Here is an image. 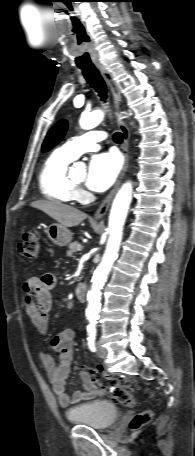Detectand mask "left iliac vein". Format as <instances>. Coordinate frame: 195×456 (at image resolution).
Listing matches in <instances>:
<instances>
[{
    "instance_id": "1",
    "label": "left iliac vein",
    "mask_w": 195,
    "mask_h": 456,
    "mask_svg": "<svg viewBox=\"0 0 195 456\" xmlns=\"http://www.w3.org/2000/svg\"><path fill=\"white\" fill-rule=\"evenodd\" d=\"M96 351H97V355L100 358L105 359L107 357V354H108L107 349L104 348L101 343H97Z\"/></svg>"
}]
</instances>
